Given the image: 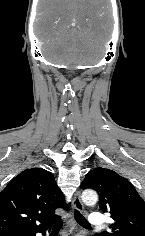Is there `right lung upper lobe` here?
Returning <instances> with one entry per match:
<instances>
[{"label":"right lung upper lobe","instance_id":"1","mask_svg":"<svg viewBox=\"0 0 145 236\" xmlns=\"http://www.w3.org/2000/svg\"><path fill=\"white\" fill-rule=\"evenodd\" d=\"M67 210L53 175L42 168L21 172L0 192V236H25L52 226Z\"/></svg>","mask_w":145,"mask_h":236}]
</instances>
